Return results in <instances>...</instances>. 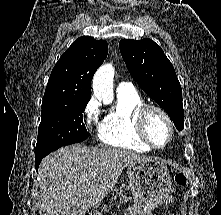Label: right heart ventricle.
<instances>
[{"mask_svg": "<svg viewBox=\"0 0 221 215\" xmlns=\"http://www.w3.org/2000/svg\"><path fill=\"white\" fill-rule=\"evenodd\" d=\"M144 104L138 92H117V103L99 125L100 140L111 147L145 153L151 147L143 142L135 127L136 110Z\"/></svg>", "mask_w": 221, "mask_h": 215, "instance_id": "e07e8e85", "label": "right heart ventricle"}]
</instances>
